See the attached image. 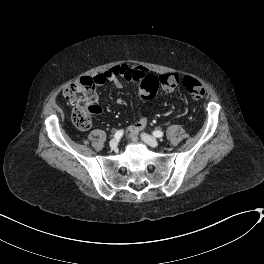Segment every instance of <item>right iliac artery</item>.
<instances>
[{
    "label": "right iliac artery",
    "mask_w": 264,
    "mask_h": 264,
    "mask_svg": "<svg viewBox=\"0 0 264 264\" xmlns=\"http://www.w3.org/2000/svg\"><path fill=\"white\" fill-rule=\"evenodd\" d=\"M122 135H123V130H119V131H117V132L115 133L114 137H115L116 139H120V138L122 137Z\"/></svg>",
    "instance_id": "1"
}]
</instances>
